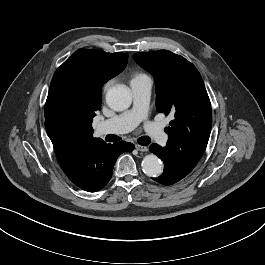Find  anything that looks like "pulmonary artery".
<instances>
[{
    "mask_svg": "<svg viewBox=\"0 0 265 265\" xmlns=\"http://www.w3.org/2000/svg\"><path fill=\"white\" fill-rule=\"evenodd\" d=\"M130 88L133 96L132 107L110 119L101 121L98 124V132L122 134L133 130L140 123H143L144 131L149 137L160 145L167 142V134L160 125L148 119V104L151 95L152 81L148 76L132 80Z\"/></svg>",
    "mask_w": 265,
    "mask_h": 265,
    "instance_id": "pulmonary-artery-1",
    "label": "pulmonary artery"
}]
</instances>
